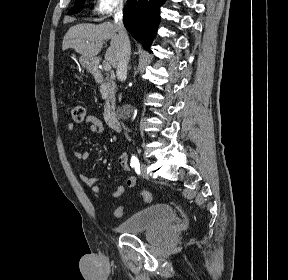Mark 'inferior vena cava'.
Wrapping results in <instances>:
<instances>
[{"label": "inferior vena cava", "mask_w": 288, "mask_h": 280, "mask_svg": "<svg viewBox=\"0 0 288 280\" xmlns=\"http://www.w3.org/2000/svg\"><path fill=\"white\" fill-rule=\"evenodd\" d=\"M122 17H123V5L120 4L116 7V12L114 16V24L117 28L120 40V51L118 55L116 74L118 79L124 80L127 77V67L130 59V41L128 38L127 31L124 27Z\"/></svg>", "instance_id": "obj_1"}]
</instances>
